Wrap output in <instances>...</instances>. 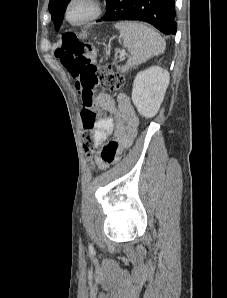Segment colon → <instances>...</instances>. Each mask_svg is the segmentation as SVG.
Instances as JSON below:
<instances>
[{
	"label": "colon",
	"mask_w": 227,
	"mask_h": 298,
	"mask_svg": "<svg viewBox=\"0 0 227 298\" xmlns=\"http://www.w3.org/2000/svg\"><path fill=\"white\" fill-rule=\"evenodd\" d=\"M56 57L69 75L76 80V88L81 94L84 109L82 122L85 129L83 147L87 156L93 155V133L96 122L103 118L93 110L94 89L100 85L103 89L114 92L123 88L124 78L109 66H97L92 63L94 49L88 42L78 39L74 34L63 36Z\"/></svg>",
	"instance_id": "colon-1"
}]
</instances>
